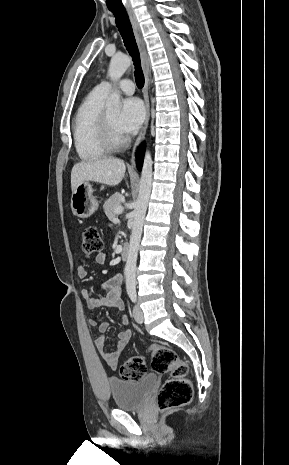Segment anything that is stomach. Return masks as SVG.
Returning <instances> with one entry per match:
<instances>
[{
	"mask_svg": "<svg viewBox=\"0 0 289 465\" xmlns=\"http://www.w3.org/2000/svg\"><path fill=\"white\" fill-rule=\"evenodd\" d=\"M99 203L89 181L79 183L71 196V209L79 218H88L97 210Z\"/></svg>",
	"mask_w": 289,
	"mask_h": 465,
	"instance_id": "stomach-1",
	"label": "stomach"
}]
</instances>
